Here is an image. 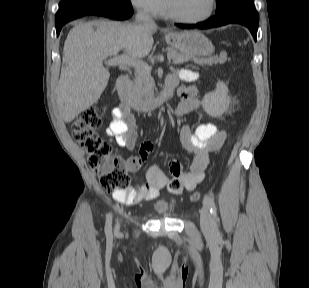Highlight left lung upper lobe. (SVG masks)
<instances>
[{"label":"left lung upper lobe","mask_w":309,"mask_h":288,"mask_svg":"<svg viewBox=\"0 0 309 288\" xmlns=\"http://www.w3.org/2000/svg\"><path fill=\"white\" fill-rule=\"evenodd\" d=\"M246 0H217V9H216V13H220L223 12L225 10H227L228 8H230L231 6L243 2Z\"/></svg>","instance_id":"obj_1"}]
</instances>
